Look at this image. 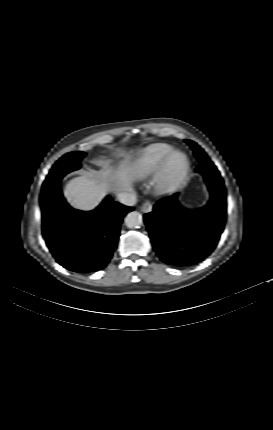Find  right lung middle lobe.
<instances>
[{"mask_svg":"<svg viewBox=\"0 0 273 430\" xmlns=\"http://www.w3.org/2000/svg\"><path fill=\"white\" fill-rule=\"evenodd\" d=\"M84 156V152L75 151L60 158L50 170L43 184V190L60 181L67 173L79 169L80 161Z\"/></svg>","mask_w":273,"mask_h":430,"instance_id":"right-lung-middle-lobe-1","label":"right lung middle lobe"}]
</instances>
